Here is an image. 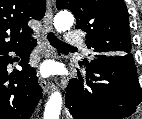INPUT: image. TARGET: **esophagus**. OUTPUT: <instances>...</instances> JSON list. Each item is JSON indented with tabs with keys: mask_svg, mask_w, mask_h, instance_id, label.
Returning <instances> with one entry per match:
<instances>
[{
	"mask_svg": "<svg viewBox=\"0 0 142 119\" xmlns=\"http://www.w3.org/2000/svg\"><path fill=\"white\" fill-rule=\"evenodd\" d=\"M53 30V11H52V3L51 1H47V8L46 13L43 19V30H42V41L43 44L47 45V33ZM51 51L46 49V57L51 55ZM40 86L44 93H51L55 90V85L50 81L40 79L39 80Z\"/></svg>",
	"mask_w": 142,
	"mask_h": 119,
	"instance_id": "esophagus-1",
	"label": "esophagus"
}]
</instances>
